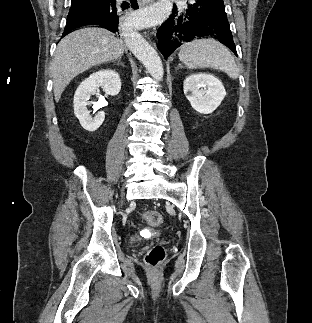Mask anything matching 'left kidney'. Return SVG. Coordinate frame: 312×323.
Returning a JSON list of instances; mask_svg holds the SVG:
<instances>
[{"mask_svg":"<svg viewBox=\"0 0 312 323\" xmlns=\"http://www.w3.org/2000/svg\"><path fill=\"white\" fill-rule=\"evenodd\" d=\"M184 94L192 108L200 114L214 112L226 96L222 82L218 78H214L212 74L188 76L184 82Z\"/></svg>","mask_w":312,"mask_h":323,"instance_id":"obj_1","label":"left kidney"}]
</instances>
